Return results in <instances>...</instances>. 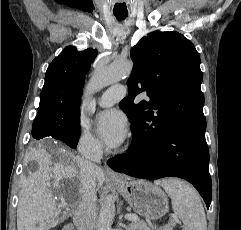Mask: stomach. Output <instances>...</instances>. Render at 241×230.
<instances>
[{"mask_svg":"<svg viewBox=\"0 0 241 230\" xmlns=\"http://www.w3.org/2000/svg\"><path fill=\"white\" fill-rule=\"evenodd\" d=\"M116 187L134 212L149 220H157L169 211V202L164 191L144 180H121Z\"/></svg>","mask_w":241,"mask_h":230,"instance_id":"obj_1","label":"stomach"}]
</instances>
